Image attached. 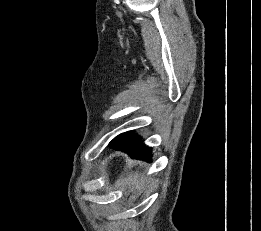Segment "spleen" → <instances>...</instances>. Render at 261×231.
Listing matches in <instances>:
<instances>
[{"instance_id":"1","label":"spleen","mask_w":261,"mask_h":231,"mask_svg":"<svg viewBox=\"0 0 261 231\" xmlns=\"http://www.w3.org/2000/svg\"><path fill=\"white\" fill-rule=\"evenodd\" d=\"M140 175L138 173L136 174H130L127 178L123 179L120 183V186L122 188L126 187H132V188H140L142 184H144V180L139 178Z\"/></svg>"}]
</instances>
